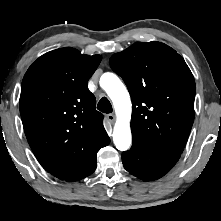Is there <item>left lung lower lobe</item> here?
Instances as JSON below:
<instances>
[{
    "label": "left lung lower lobe",
    "instance_id": "obj_1",
    "mask_svg": "<svg viewBox=\"0 0 221 221\" xmlns=\"http://www.w3.org/2000/svg\"><path fill=\"white\" fill-rule=\"evenodd\" d=\"M179 158V154L154 150L137 140H133L131 150L122 154L125 169L145 181L156 180L164 176Z\"/></svg>",
    "mask_w": 221,
    "mask_h": 221
}]
</instances>
